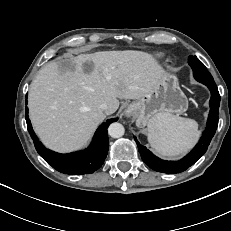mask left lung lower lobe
Here are the masks:
<instances>
[{"mask_svg": "<svg viewBox=\"0 0 231 231\" xmlns=\"http://www.w3.org/2000/svg\"><path fill=\"white\" fill-rule=\"evenodd\" d=\"M205 85L209 88L211 92V99H210L211 109L209 112L207 125L202 134V137L200 138V141L193 148V150L184 158L178 161L162 160L156 157L155 155H153L152 152H150L145 146L141 145L137 141L136 137H134L143 161L153 170L162 173H167V174L183 172L191 165H193L207 151V148L218 126L220 95L216 84H205Z\"/></svg>", "mask_w": 231, "mask_h": 231, "instance_id": "obj_1", "label": "left lung lower lobe"}]
</instances>
